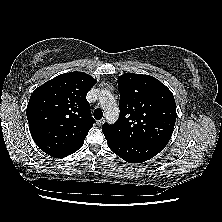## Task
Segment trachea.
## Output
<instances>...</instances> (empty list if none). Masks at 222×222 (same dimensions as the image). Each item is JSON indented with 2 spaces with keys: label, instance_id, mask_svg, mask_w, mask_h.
I'll list each match as a JSON object with an SVG mask.
<instances>
[{
  "label": "trachea",
  "instance_id": "1",
  "mask_svg": "<svg viewBox=\"0 0 222 222\" xmlns=\"http://www.w3.org/2000/svg\"><path fill=\"white\" fill-rule=\"evenodd\" d=\"M93 115H94L95 119L99 120V119H101L103 117V112H102L101 109L98 108V109L94 110Z\"/></svg>",
  "mask_w": 222,
  "mask_h": 222
}]
</instances>
